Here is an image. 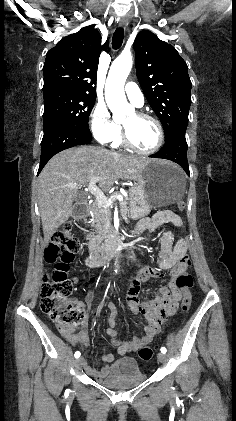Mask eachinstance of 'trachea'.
I'll use <instances>...</instances> for the list:
<instances>
[{
	"label": "trachea",
	"instance_id": "obj_1",
	"mask_svg": "<svg viewBox=\"0 0 236 421\" xmlns=\"http://www.w3.org/2000/svg\"><path fill=\"white\" fill-rule=\"evenodd\" d=\"M123 39H124V29L123 27H118L112 37V48L114 50H118L122 43H123Z\"/></svg>",
	"mask_w": 236,
	"mask_h": 421
}]
</instances>
